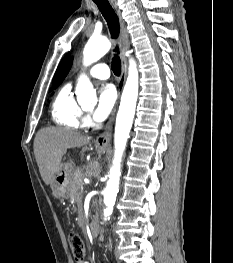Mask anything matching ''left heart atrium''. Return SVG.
Listing matches in <instances>:
<instances>
[{
    "label": "left heart atrium",
    "mask_w": 233,
    "mask_h": 263,
    "mask_svg": "<svg viewBox=\"0 0 233 263\" xmlns=\"http://www.w3.org/2000/svg\"><path fill=\"white\" fill-rule=\"evenodd\" d=\"M116 102V90L113 85L105 84L99 90L98 104L93 112L95 121L105 120Z\"/></svg>",
    "instance_id": "obj_1"
}]
</instances>
